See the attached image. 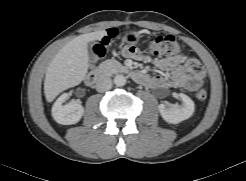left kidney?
I'll use <instances>...</instances> for the list:
<instances>
[{
    "label": "left kidney",
    "instance_id": "5707ae66",
    "mask_svg": "<svg viewBox=\"0 0 246 181\" xmlns=\"http://www.w3.org/2000/svg\"><path fill=\"white\" fill-rule=\"evenodd\" d=\"M178 96L182 100V105L180 107L166 108L164 104L158 105L160 115L170 124H178L187 120L194 113L195 105L192 99L183 93L178 94Z\"/></svg>",
    "mask_w": 246,
    "mask_h": 181
}]
</instances>
